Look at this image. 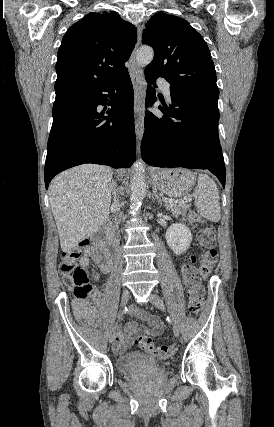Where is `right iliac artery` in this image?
<instances>
[{"mask_svg": "<svg viewBox=\"0 0 274 427\" xmlns=\"http://www.w3.org/2000/svg\"><path fill=\"white\" fill-rule=\"evenodd\" d=\"M127 310V308L125 307V310H123L122 314L119 316V320L120 318L123 316V313Z\"/></svg>", "mask_w": 274, "mask_h": 427, "instance_id": "right-iliac-artery-1", "label": "right iliac artery"}]
</instances>
